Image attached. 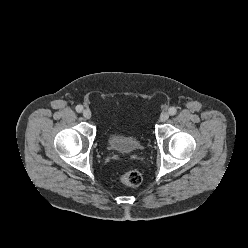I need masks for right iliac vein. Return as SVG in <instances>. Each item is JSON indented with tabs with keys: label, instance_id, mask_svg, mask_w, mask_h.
<instances>
[{
	"label": "right iliac vein",
	"instance_id": "obj_1",
	"mask_svg": "<svg viewBox=\"0 0 248 248\" xmlns=\"http://www.w3.org/2000/svg\"><path fill=\"white\" fill-rule=\"evenodd\" d=\"M83 116H84L85 119H90L91 116H92L91 111L89 109H85L83 111Z\"/></svg>",
	"mask_w": 248,
	"mask_h": 248
}]
</instances>
